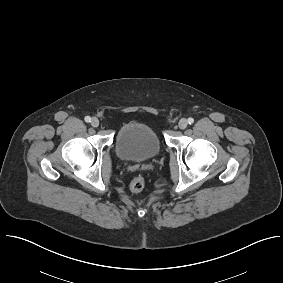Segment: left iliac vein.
<instances>
[{"mask_svg": "<svg viewBox=\"0 0 283 283\" xmlns=\"http://www.w3.org/2000/svg\"><path fill=\"white\" fill-rule=\"evenodd\" d=\"M188 125V122L185 118L180 119L178 126L180 129H185Z\"/></svg>", "mask_w": 283, "mask_h": 283, "instance_id": "left-iliac-vein-1", "label": "left iliac vein"}]
</instances>
